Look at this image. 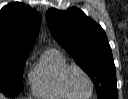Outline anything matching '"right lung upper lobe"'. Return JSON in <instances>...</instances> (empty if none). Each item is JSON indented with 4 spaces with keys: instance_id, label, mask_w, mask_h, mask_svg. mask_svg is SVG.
Listing matches in <instances>:
<instances>
[{
    "instance_id": "right-lung-upper-lobe-1",
    "label": "right lung upper lobe",
    "mask_w": 128,
    "mask_h": 99,
    "mask_svg": "<svg viewBox=\"0 0 128 99\" xmlns=\"http://www.w3.org/2000/svg\"><path fill=\"white\" fill-rule=\"evenodd\" d=\"M41 15L30 6L15 2L0 11V52L28 54L36 40Z\"/></svg>"
}]
</instances>
